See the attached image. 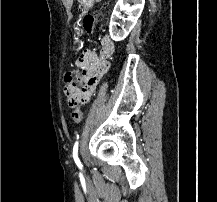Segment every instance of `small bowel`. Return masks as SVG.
I'll return each mask as SVG.
<instances>
[{
    "instance_id": "c3829d8e",
    "label": "small bowel",
    "mask_w": 217,
    "mask_h": 202,
    "mask_svg": "<svg viewBox=\"0 0 217 202\" xmlns=\"http://www.w3.org/2000/svg\"><path fill=\"white\" fill-rule=\"evenodd\" d=\"M114 50L113 41L105 37L102 40L98 55L84 53L79 57L77 64L86 70L88 74L87 80L89 81L82 95H92L94 93L99 78L109 68L108 59L112 56Z\"/></svg>"
}]
</instances>
